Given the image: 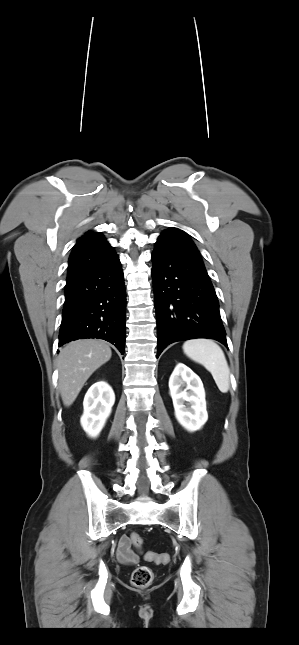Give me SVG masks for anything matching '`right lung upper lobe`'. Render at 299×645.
Masks as SVG:
<instances>
[{"instance_id":"right-lung-upper-lobe-1","label":"right lung upper lobe","mask_w":299,"mask_h":645,"mask_svg":"<svg viewBox=\"0 0 299 645\" xmlns=\"http://www.w3.org/2000/svg\"><path fill=\"white\" fill-rule=\"evenodd\" d=\"M115 254L100 232L88 231L77 240L71 252L67 278L88 266L104 262Z\"/></svg>"}]
</instances>
